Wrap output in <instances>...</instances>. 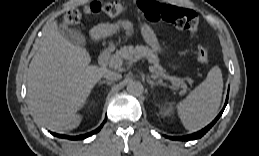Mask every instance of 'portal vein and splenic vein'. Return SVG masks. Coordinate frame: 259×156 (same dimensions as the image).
Wrapping results in <instances>:
<instances>
[{
    "mask_svg": "<svg viewBox=\"0 0 259 156\" xmlns=\"http://www.w3.org/2000/svg\"><path fill=\"white\" fill-rule=\"evenodd\" d=\"M115 65L116 66H121L122 65V61H117L115 62ZM153 71V70H151ZM157 76V75H156ZM164 79H168L170 80L171 82H181V80L179 78H176V77H169V76H163Z\"/></svg>",
    "mask_w": 259,
    "mask_h": 156,
    "instance_id": "portal-vein-and-splenic-vein-1",
    "label": "portal vein and splenic vein"
}]
</instances>
